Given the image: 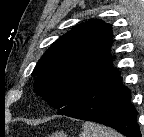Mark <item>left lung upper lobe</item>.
I'll return each mask as SVG.
<instances>
[{
	"instance_id": "left-lung-upper-lobe-1",
	"label": "left lung upper lobe",
	"mask_w": 144,
	"mask_h": 137,
	"mask_svg": "<svg viewBox=\"0 0 144 137\" xmlns=\"http://www.w3.org/2000/svg\"><path fill=\"white\" fill-rule=\"evenodd\" d=\"M112 31L101 20H89L61 36L32 72L34 92L62 109L116 71L109 54Z\"/></svg>"
}]
</instances>
